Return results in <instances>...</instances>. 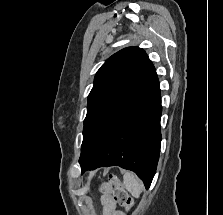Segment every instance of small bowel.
I'll return each mask as SVG.
<instances>
[{
	"mask_svg": "<svg viewBox=\"0 0 223 215\" xmlns=\"http://www.w3.org/2000/svg\"><path fill=\"white\" fill-rule=\"evenodd\" d=\"M102 191L104 192L102 202L106 213L108 215H124L121 211H118L116 209V203L113 201L112 196L110 194V186L104 185L102 187Z\"/></svg>",
	"mask_w": 223,
	"mask_h": 215,
	"instance_id": "small-bowel-1",
	"label": "small bowel"
}]
</instances>
